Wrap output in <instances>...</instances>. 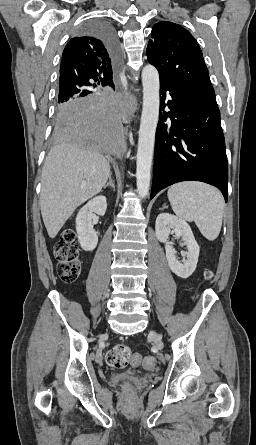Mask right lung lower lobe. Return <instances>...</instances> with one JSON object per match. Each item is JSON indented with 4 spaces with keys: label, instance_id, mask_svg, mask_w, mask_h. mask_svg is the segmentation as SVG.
Instances as JSON below:
<instances>
[{
    "label": "right lung lower lobe",
    "instance_id": "obj_1",
    "mask_svg": "<svg viewBox=\"0 0 256 445\" xmlns=\"http://www.w3.org/2000/svg\"><path fill=\"white\" fill-rule=\"evenodd\" d=\"M99 36L118 62L119 47L112 28L104 22L86 26ZM115 90V88L113 87ZM55 136L60 140L90 148L100 154L118 159L125 150L118 115V97L113 93L78 94L69 101H58Z\"/></svg>",
    "mask_w": 256,
    "mask_h": 445
}]
</instances>
